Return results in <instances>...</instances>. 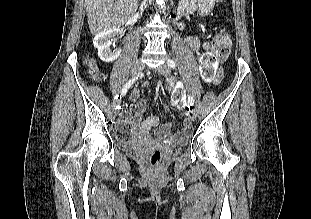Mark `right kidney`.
<instances>
[{"mask_svg": "<svg viewBox=\"0 0 311 219\" xmlns=\"http://www.w3.org/2000/svg\"><path fill=\"white\" fill-rule=\"evenodd\" d=\"M120 33L119 28L110 29L97 34L93 39V44L98 50V56L103 62H112L116 60L120 49H111L113 38Z\"/></svg>", "mask_w": 311, "mask_h": 219, "instance_id": "obj_1", "label": "right kidney"}]
</instances>
